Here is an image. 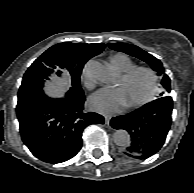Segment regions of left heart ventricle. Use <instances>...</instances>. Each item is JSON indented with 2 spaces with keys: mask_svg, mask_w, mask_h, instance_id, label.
I'll return each instance as SVG.
<instances>
[{
  "mask_svg": "<svg viewBox=\"0 0 194 193\" xmlns=\"http://www.w3.org/2000/svg\"><path fill=\"white\" fill-rule=\"evenodd\" d=\"M117 87L123 90L126 104H131L147 95L151 87V78L148 74L139 72L126 81L120 78Z\"/></svg>",
  "mask_w": 194,
  "mask_h": 193,
  "instance_id": "b2bd125f",
  "label": "left heart ventricle"
}]
</instances>
